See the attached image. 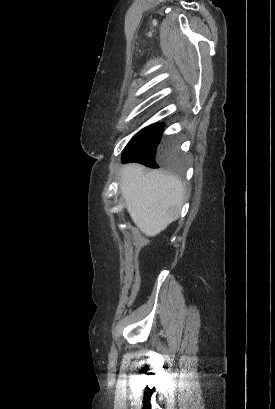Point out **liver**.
<instances>
[{
  "instance_id": "obj_1",
  "label": "liver",
  "mask_w": 275,
  "mask_h": 409,
  "mask_svg": "<svg viewBox=\"0 0 275 409\" xmlns=\"http://www.w3.org/2000/svg\"><path fill=\"white\" fill-rule=\"evenodd\" d=\"M122 196L136 227L146 237H156L174 221L170 209H179L184 188L175 174L160 170L143 172L141 164H124L121 170Z\"/></svg>"
}]
</instances>
